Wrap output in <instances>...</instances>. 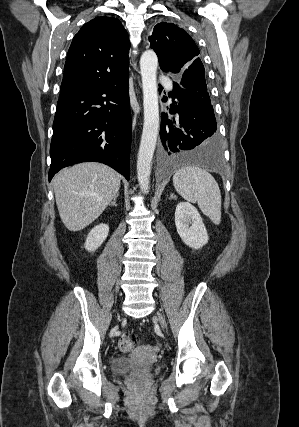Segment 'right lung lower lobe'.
Segmentation results:
<instances>
[{"label": "right lung lower lobe", "mask_w": 299, "mask_h": 427, "mask_svg": "<svg viewBox=\"0 0 299 427\" xmlns=\"http://www.w3.org/2000/svg\"><path fill=\"white\" fill-rule=\"evenodd\" d=\"M131 130L128 71L60 97L53 123L49 181L60 169L86 161L107 164L129 180Z\"/></svg>", "instance_id": "98d812e1"}]
</instances>
